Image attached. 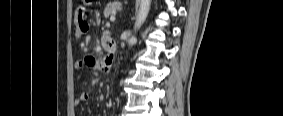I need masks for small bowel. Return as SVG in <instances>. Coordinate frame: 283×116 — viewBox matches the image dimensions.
<instances>
[{
  "label": "small bowel",
  "mask_w": 283,
  "mask_h": 116,
  "mask_svg": "<svg viewBox=\"0 0 283 116\" xmlns=\"http://www.w3.org/2000/svg\"><path fill=\"white\" fill-rule=\"evenodd\" d=\"M75 16L78 21L75 29V36L77 39L81 40L82 38H84L88 30V23L85 20V10L83 8H79L76 11ZM111 62L112 59L110 58L99 59V58L87 56L77 61L75 64V68L77 70H82L85 67H91L96 71L106 72L105 70L109 69ZM90 99H91L90 92L83 91L80 93L79 98L76 100V105H78L80 102H87Z\"/></svg>",
  "instance_id": "1"
}]
</instances>
